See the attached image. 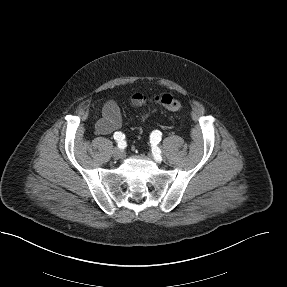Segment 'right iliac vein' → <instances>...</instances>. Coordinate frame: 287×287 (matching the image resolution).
Returning a JSON list of instances; mask_svg holds the SVG:
<instances>
[{
  "label": "right iliac vein",
  "mask_w": 287,
  "mask_h": 287,
  "mask_svg": "<svg viewBox=\"0 0 287 287\" xmlns=\"http://www.w3.org/2000/svg\"><path fill=\"white\" fill-rule=\"evenodd\" d=\"M112 154L115 159H121L124 156V152L119 148H114Z\"/></svg>",
  "instance_id": "obj_1"
}]
</instances>
